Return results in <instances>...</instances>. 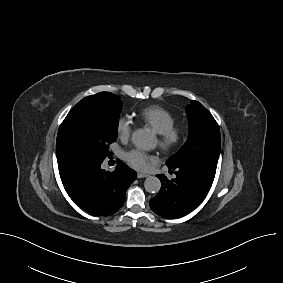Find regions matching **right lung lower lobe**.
I'll return each instance as SVG.
<instances>
[{"instance_id":"right-lung-lower-lobe-1","label":"right lung lower lobe","mask_w":283,"mask_h":283,"mask_svg":"<svg viewBox=\"0 0 283 283\" xmlns=\"http://www.w3.org/2000/svg\"><path fill=\"white\" fill-rule=\"evenodd\" d=\"M103 160L73 156L58 164V168L70 198L86 212L106 216L123 206L126 190L137 174L121 161L109 173L101 168Z\"/></svg>"}]
</instances>
